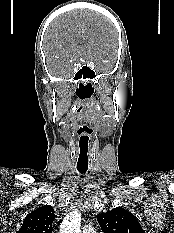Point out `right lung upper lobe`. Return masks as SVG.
I'll return each instance as SVG.
<instances>
[{
  "label": "right lung upper lobe",
  "instance_id": "obj_1",
  "mask_svg": "<svg viewBox=\"0 0 174 233\" xmlns=\"http://www.w3.org/2000/svg\"><path fill=\"white\" fill-rule=\"evenodd\" d=\"M54 219L53 208L50 205H42L25 217L17 233H52Z\"/></svg>",
  "mask_w": 174,
  "mask_h": 233
}]
</instances>
